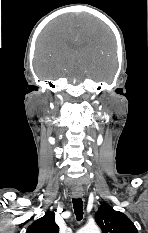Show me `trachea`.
I'll return each mask as SVG.
<instances>
[{"instance_id":"obj_1","label":"trachea","mask_w":148,"mask_h":233,"mask_svg":"<svg viewBox=\"0 0 148 233\" xmlns=\"http://www.w3.org/2000/svg\"><path fill=\"white\" fill-rule=\"evenodd\" d=\"M73 208L75 211V215L78 221L83 218V202L81 198H76L72 200Z\"/></svg>"}]
</instances>
